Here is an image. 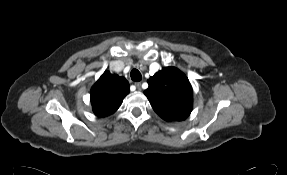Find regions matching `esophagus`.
<instances>
[{
	"instance_id": "obj_1",
	"label": "esophagus",
	"mask_w": 287,
	"mask_h": 175,
	"mask_svg": "<svg viewBox=\"0 0 287 175\" xmlns=\"http://www.w3.org/2000/svg\"><path fill=\"white\" fill-rule=\"evenodd\" d=\"M135 86L138 90H141V82H136Z\"/></svg>"
}]
</instances>
